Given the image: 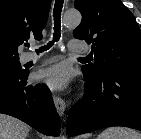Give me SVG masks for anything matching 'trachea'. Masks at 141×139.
<instances>
[{
    "label": "trachea",
    "instance_id": "obj_1",
    "mask_svg": "<svg viewBox=\"0 0 141 139\" xmlns=\"http://www.w3.org/2000/svg\"><path fill=\"white\" fill-rule=\"evenodd\" d=\"M64 0H55L54 9H53V17H54V33L53 40L47 44V46L41 47L38 51L42 52L48 50L54 42L59 41L61 35V12L63 7ZM36 51V52H38Z\"/></svg>",
    "mask_w": 141,
    "mask_h": 139
}]
</instances>
